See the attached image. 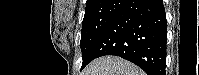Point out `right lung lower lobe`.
<instances>
[{"label": "right lung lower lobe", "instance_id": "obj_1", "mask_svg": "<svg viewBox=\"0 0 199 75\" xmlns=\"http://www.w3.org/2000/svg\"><path fill=\"white\" fill-rule=\"evenodd\" d=\"M166 42L163 1L128 0L94 45L90 59L116 55L147 75H165Z\"/></svg>", "mask_w": 199, "mask_h": 75}]
</instances>
